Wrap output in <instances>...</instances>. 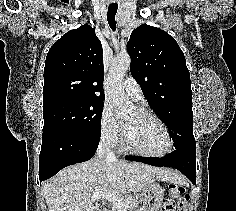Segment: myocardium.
<instances>
[{
    "mask_svg": "<svg viewBox=\"0 0 236 211\" xmlns=\"http://www.w3.org/2000/svg\"><path fill=\"white\" fill-rule=\"evenodd\" d=\"M136 112L138 114H140L141 116H144V117H147V118H150V119L154 120L155 122H157L163 128V130L166 134V138H167V145H166V148L161 153H157V154L147 153V152L138 150L137 148H135L132 145V143L130 141V138H129V135H128L127 127L124 124V128H123L124 129V132H123L124 134H123V142H122L124 148L126 150L134 153V154L144 156V157L159 158V157H164V156L168 155L170 153V151L172 150V147H173V140H172V136H171V133H170V130H169L168 126L159 117H157L155 114H153L152 112H150L148 110L137 109Z\"/></svg>",
    "mask_w": 236,
    "mask_h": 211,
    "instance_id": "f54148a6",
    "label": "myocardium"
}]
</instances>
